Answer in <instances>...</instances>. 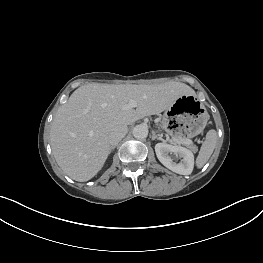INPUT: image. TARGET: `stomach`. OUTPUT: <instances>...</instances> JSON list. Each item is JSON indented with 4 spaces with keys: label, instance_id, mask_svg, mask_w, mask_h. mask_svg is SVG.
Wrapping results in <instances>:
<instances>
[{
    "label": "stomach",
    "instance_id": "1",
    "mask_svg": "<svg viewBox=\"0 0 263 263\" xmlns=\"http://www.w3.org/2000/svg\"><path fill=\"white\" fill-rule=\"evenodd\" d=\"M208 119L206 109L193 95H182L165 110L161 125L179 138H194L205 131Z\"/></svg>",
    "mask_w": 263,
    "mask_h": 263
}]
</instances>
